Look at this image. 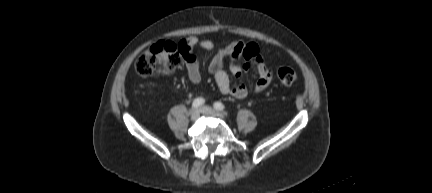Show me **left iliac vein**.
Instances as JSON below:
<instances>
[{"instance_id":"4c4485c4","label":"left iliac vein","mask_w":432,"mask_h":193,"mask_svg":"<svg viewBox=\"0 0 432 193\" xmlns=\"http://www.w3.org/2000/svg\"><path fill=\"white\" fill-rule=\"evenodd\" d=\"M201 113H203L205 115L220 117V118H224L226 116L224 113L219 112L218 110H215L209 106H203L201 108Z\"/></svg>"}]
</instances>
